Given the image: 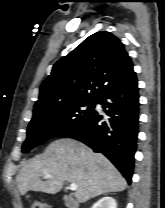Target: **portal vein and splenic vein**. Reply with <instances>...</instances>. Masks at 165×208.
I'll return each instance as SVG.
<instances>
[{"label":"portal vein and splenic vein","instance_id":"portal-vein-and-splenic-vein-1","mask_svg":"<svg viewBox=\"0 0 165 208\" xmlns=\"http://www.w3.org/2000/svg\"><path fill=\"white\" fill-rule=\"evenodd\" d=\"M46 177L49 178V177H51V175L46 174ZM69 189L72 191H75L77 189V185L75 183H71L69 186Z\"/></svg>","mask_w":165,"mask_h":208}]
</instances>
